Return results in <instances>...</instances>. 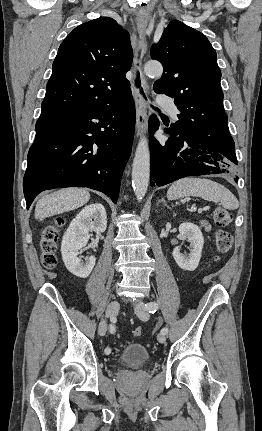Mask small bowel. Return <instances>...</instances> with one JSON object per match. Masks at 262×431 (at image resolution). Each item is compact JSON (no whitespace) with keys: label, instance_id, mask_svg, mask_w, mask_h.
Returning a JSON list of instances; mask_svg holds the SVG:
<instances>
[{"label":"small bowel","instance_id":"small-bowel-1","mask_svg":"<svg viewBox=\"0 0 262 431\" xmlns=\"http://www.w3.org/2000/svg\"><path fill=\"white\" fill-rule=\"evenodd\" d=\"M201 225H202V227H204L206 230H210V229H211V224H210L207 220H202V221H201Z\"/></svg>","mask_w":262,"mask_h":431}]
</instances>
